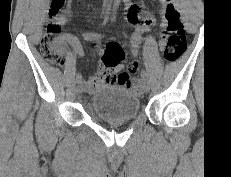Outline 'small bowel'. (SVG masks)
Returning <instances> with one entry per match:
<instances>
[{
	"label": "small bowel",
	"mask_w": 231,
	"mask_h": 177,
	"mask_svg": "<svg viewBox=\"0 0 231 177\" xmlns=\"http://www.w3.org/2000/svg\"><path fill=\"white\" fill-rule=\"evenodd\" d=\"M162 3H165L164 0H159ZM127 3V12L126 19L130 24H132L138 32L146 31L150 26L155 24L156 19L151 16H141L139 13V8L136 4L130 2V0H124ZM72 0H59L58 12L54 16L56 21L60 25H66L69 23L68 15L71 12ZM64 39L71 45L75 54L77 56L83 55V49L76 37L72 35H65ZM139 42V36H135L131 42V51L134 53ZM165 46L164 41L161 39L159 41V47L163 49ZM123 66L118 64L115 66H108V69L103 70L99 74L90 78L87 82V90L93 92L95 89L102 85L109 84H120L123 85L129 78V73L122 70ZM120 71V72H119ZM117 76V81L114 82L112 78Z\"/></svg>",
	"instance_id": "small-bowel-1"
}]
</instances>
